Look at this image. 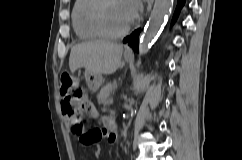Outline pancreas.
Segmentation results:
<instances>
[{"label":"pancreas","instance_id":"obj_1","mask_svg":"<svg viewBox=\"0 0 242 160\" xmlns=\"http://www.w3.org/2000/svg\"><path fill=\"white\" fill-rule=\"evenodd\" d=\"M117 88V83L114 81L113 83H108L102 89L97 95L98 103L100 104H106L108 101V97L110 94Z\"/></svg>","mask_w":242,"mask_h":160}]
</instances>
